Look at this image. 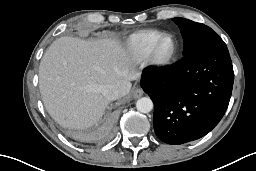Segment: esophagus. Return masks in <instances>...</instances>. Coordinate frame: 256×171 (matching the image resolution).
I'll return each instance as SVG.
<instances>
[{
    "label": "esophagus",
    "instance_id": "esophagus-1",
    "mask_svg": "<svg viewBox=\"0 0 256 171\" xmlns=\"http://www.w3.org/2000/svg\"><path fill=\"white\" fill-rule=\"evenodd\" d=\"M144 91L142 88L137 87L132 91L133 98L137 99L140 98L143 95Z\"/></svg>",
    "mask_w": 256,
    "mask_h": 171
}]
</instances>
